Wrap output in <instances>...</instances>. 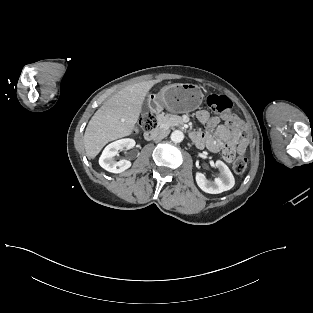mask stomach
<instances>
[{
  "instance_id": "0dacf381",
  "label": "stomach",
  "mask_w": 313,
  "mask_h": 313,
  "mask_svg": "<svg viewBox=\"0 0 313 313\" xmlns=\"http://www.w3.org/2000/svg\"><path fill=\"white\" fill-rule=\"evenodd\" d=\"M203 98L202 91L196 85L185 83L165 86L150 101L157 109L187 113L199 108Z\"/></svg>"
}]
</instances>
